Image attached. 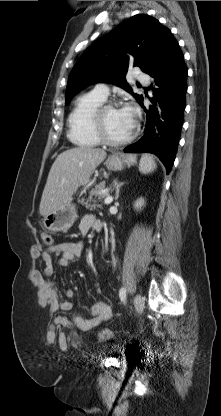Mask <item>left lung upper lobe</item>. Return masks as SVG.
Returning <instances> with one entry per match:
<instances>
[{
	"instance_id": "5c2ea615",
	"label": "left lung upper lobe",
	"mask_w": 221,
	"mask_h": 416,
	"mask_svg": "<svg viewBox=\"0 0 221 416\" xmlns=\"http://www.w3.org/2000/svg\"><path fill=\"white\" fill-rule=\"evenodd\" d=\"M168 28L151 16L135 15L94 42L73 67L66 88L65 103L95 82L113 83L128 91L139 103L125 74L133 65L147 72Z\"/></svg>"
}]
</instances>
